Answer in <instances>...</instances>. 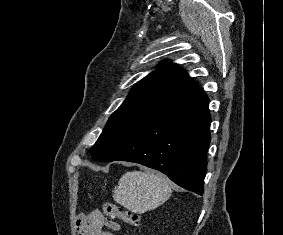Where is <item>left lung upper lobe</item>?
Segmentation results:
<instances>
[{
	"label": "left lung upper lobe",
	"instance_id": "obj_1",
	"mask_svg": "<svg viewBox=\"0 0 283 235\" xmlns=\"http://www.w3.org/2000/svg\"><path fill=\"white\" fill-rule=\"evenodd\" d=\"M198 85L177 65L168 61L136 84L126 100L110 116L90 152L104 161L115 149L155 117L198 90Z\"/></svg>",
	"mask_w": 283,
	"mask_h": 235
}]
</instances>
